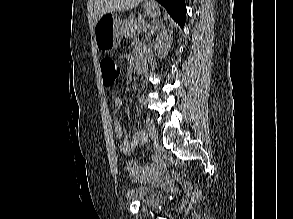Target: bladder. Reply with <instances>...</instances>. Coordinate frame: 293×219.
Listing matches in <instances>:
<instances>
[{
    "mask_svg": "<svg viewBox=\"0 0 293 219\" xmlns=\"http://www.w3.org/2000/svg\"><path fill=\"white\" fill-rule=\"evenodd\" d=\"M128 199L137 200L145 205H155L161 199V192L147 185H136L126 191Z\"/></svg>",
    "mask_w": 293,
    "mask_h": 219,
    "instance_id": "bladder-1",
    "label": "bladder"
}]
</instances>
